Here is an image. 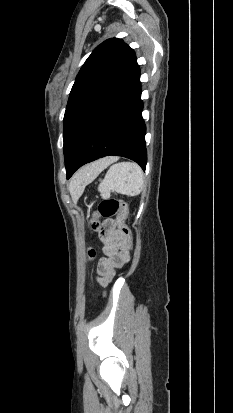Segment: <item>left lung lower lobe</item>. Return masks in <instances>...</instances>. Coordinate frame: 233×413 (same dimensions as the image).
<instances>
[{
  "label": "left lung lower lobe",
  "instance_id": "left-lung-lower-lobe-1",
  "mask_svg": "<svg viewBox=\"0 0 233 413\" xmlns=\"http://www.w3.org/2000/svg\"><path fill=\"white\" fill-rule=\"evenodd\" d=\"M140 68L135 62L125 81L95 115L72 160L66 164L67 179L82 165L116 155L146 168V126L142 118Z\"/></svg>",
  "mask_w": 233,
  "mask_h": 413
}]
</instances>
